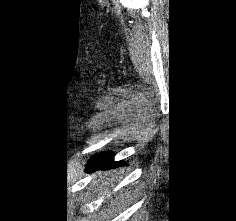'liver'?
Listing matches in <instances>:
<instances>
[{
    "label": "liver",
    "mask_w": 236,
    "mask_h": 221,
    "mask_svg": "<svg viewBox=\"0 0 236 221\" xmlns=\"http://www.w3.org/2000/svg\"><path fill=\"white\" fill-rule=\"evenodd\" d=\"M109 174H112V172H109ZM101 186L104 187V189L114 188L115 184V177L112 175L110 180H106L105 176H102V174H99ZM94 183H98L97 177L94 179Z\"/></svg>",
    "instance_id": "liver-1"
}]
</instances>
